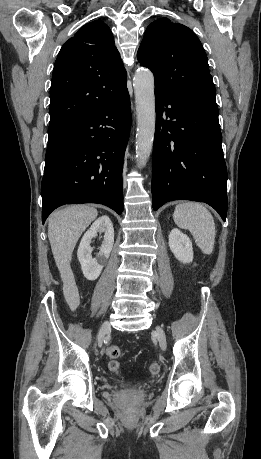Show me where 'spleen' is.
Here are the masks:
<instances>
[{
	"label": "spleen",
	"instance_id": "1",
	"mask_svg": "<svg viewBox=\"0 0 261 459\" xmlns=\"http://www.w3.org/2000/svg\"><path fill=\"white\" fill-rule=\"evenodd\" d=\"M175 224L189 230L204 254L210 255L215 244V223L212 214L202 204L185 202L175 207L173 214Z\"/></svg>",
	"mask_w": 261,
	"mask_h": 459
}]
</instances>
